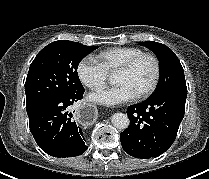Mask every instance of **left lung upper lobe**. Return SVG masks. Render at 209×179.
<instances>
[{
  "instance_id": "5c2ea615",
  "label": "left lung upper lobe",
  "mask_w": 209,
  "mask_h": 179,
  "mask_svg": "<svg viewBox=\"0 0 209 179\" xmlns=\"http://www.w3.org/2000/svg\"><path fill=\"white\" fill-rule=\"evenodd\" d=\"M139 43L152 50L159 59V83L156 91L150 98H155L174 89L187 88L181 63L170 48L164 44L153 41Z\"/></svg>"
}]
</instances>
